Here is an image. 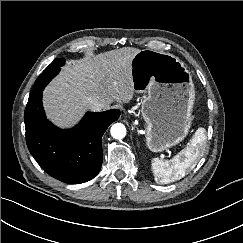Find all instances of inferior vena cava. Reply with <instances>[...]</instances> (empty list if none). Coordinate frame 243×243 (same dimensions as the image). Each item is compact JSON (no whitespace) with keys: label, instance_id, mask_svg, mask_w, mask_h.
<instances>
[{"label":"inferior vena cava","instance_id":"obj_1","mask_svg":"<svg viewBox=\"0 0 243 243\" xmlns=\"http://www.w3.org/2000/svg\"><path fill=\"white\" fill-rule=\"evenodd\" d=\"M84 103L92 111H100L107 107V102L97 95L86 97Z\"/></svg>","mask_w":243,"mask_h":243}]
</instances>
